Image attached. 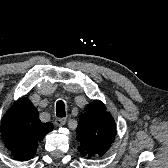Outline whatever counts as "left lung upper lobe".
Listing matches in <instances>:
<instances>
[{"label":"left lung upper lobe","mask_w":168,"mask_h":168,"mask_svg":"<svg viewBox=\"0 0 168 168\" xmlns=\"http://www.w3.org/2000/svg\"><path fill=\"white\" fill-rule=\"evenodd\" d=\"M78 151L86 157L104 155L115 139L116 124L101 101L91 102L79 117Z\"/></svg>","instance_id":"obj_1"}]
</instances>
